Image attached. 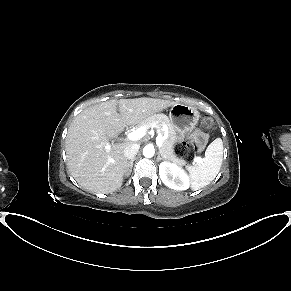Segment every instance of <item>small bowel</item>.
Here are the masks:
<instances>
[{"label":"small bowel","instance_id":"small-bowel-1","mask_svg":"<svg viewBox=\"0 0 291 291\" xmlns=\"http://www.w3.org/2000/svg\"><path fill=\"white\" fill-rule=\"evenodd\" d=\"M198 140H199L200 143L203 142V138L201 137V135H198Z\"/></svg>","mask_w":291,"mask_h":291}]
</instances>
